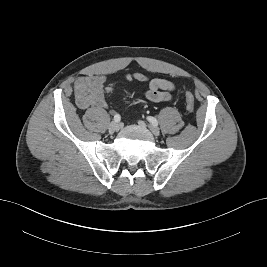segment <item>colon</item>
I'll return each instance as SVG.
<instances>
[{
	"mask_svg": "<svg viewBox=\"0 0 267 267\" xmlns=\"http://www.w3.org/2000/svg\"><path fill=\"white\" fill-rule=\"evenodd\" d=\"M112 89H113L112 86L108 87L107 88V92L112 91ZM185 98H186V107H187V110L189 112H193L194 106H195L193 95L189 91H186Z\"/></svg>",
	"mask_w": 267,
	"mask_h": 267,
	"instance_id": "5ec220e1",
	"label": "colon"
}]
</instances>
